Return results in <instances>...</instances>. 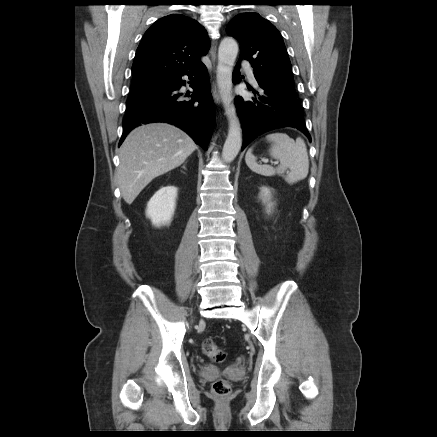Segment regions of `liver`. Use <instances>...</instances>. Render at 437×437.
Masks as SVG:
<instances>
[{"mask_svg":"<svg viewBox=\"0 0 437 437\" xmlns=\"http://www.w3.org/2000/svg\"><path fill=\"white\" fill-rule=\"evenodd\" d=\"M196 148L188 134L171 124L152 123L132 130L120 148L117 170L125 202L132 204L154 178L183 164Z\"/></svg>","mask_w":437,"mask_h":437,"instance_id":"1","label":"liver"}]
</instances>
